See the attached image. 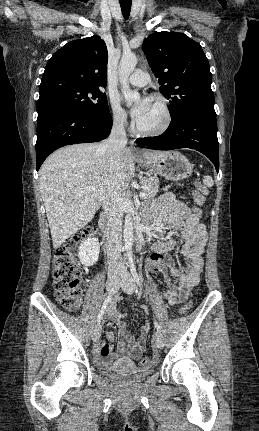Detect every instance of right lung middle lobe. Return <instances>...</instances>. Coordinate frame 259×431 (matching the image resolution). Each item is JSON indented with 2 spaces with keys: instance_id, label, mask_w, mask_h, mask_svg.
Segmentation results:
<instances>
[{
  "instance_id": "1",
  "label": "right lung middle lobe",
  "mask_w": 259,
  "mask_h": 431,
  "mask_svg": "<svg viewBox=\"0 0 259 431\" xmlns=\"http://www.w3.org/2000/svg\"><path fill=\"white\" fill-rule=\"evenodd\" d=\"M59 107H70L94 114L109 112L106 95L99 88L81 87L65 82H51L40 88L38 115Z\"/></svg>"
}]
</instances>
